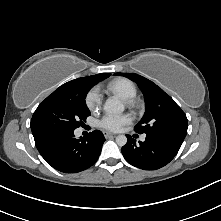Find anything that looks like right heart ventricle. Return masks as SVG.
I'll list each match as a JSON object with an SVG mask.
<instances>
[{
    "mask_svg": "<svg viewBox=\"0 0 221 221\" xmlns=\"http://www.w3.org/2000/svg\"><path fill=\"white\" fill-rule=\"evenodd\" d=\"M107 89L126 101L132 100L137 95L136 85L127 78H117L110 81Z\"/></svg>",
    "mask_w": 221,
    "mask_h": 221,
    "instance_id": "1",
    "label": "right heart ventricle"
}]
</instances>
